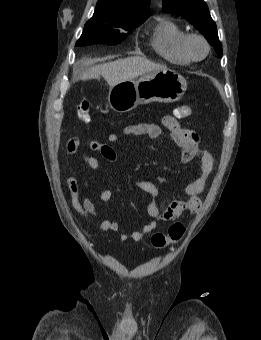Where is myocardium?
Masks as SVG:
<instances>
[{
    "label": "myocardium",
    "instance_id": "myocardium-1",
    "mask_svg": "<svg viewBox=\"0 0 261 340\" xmlns=\"http://www.w3.org/2000/svg\"><path fill=\"white\" fill-rule=\"evenodd\" d=\"M194 41H200L204 45L205 51H204V54L202 56H197L193 52L192 43ZM183 47H184L186 54L193 61L203 60L205 57H207V55L210 52V45H209L208 40L202 34H199V33H187V35L185 36L184 41H183Z\"/></svg>",
    "mask_w": 261,
    "mask_h": 340
}]
</instances>
